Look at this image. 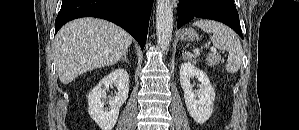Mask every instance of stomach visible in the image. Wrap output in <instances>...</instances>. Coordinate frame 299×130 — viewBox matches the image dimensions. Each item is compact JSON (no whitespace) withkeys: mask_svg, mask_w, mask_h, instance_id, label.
<instances>
[{"mask_svg":"<svg viewBox=\"0 0 299 130\" xmlns=\"http://www.w3.org/2000/svg\"><path fill=\"white\" fill-rule=\"evenodd\" d=\"M180 37L183 41H193L197 37V33L191 28H186L181 31Z\"/></svg>","mask_w":299,"mask_h":130,"instance_id":"1","label":"stomach"}]
</instances>
